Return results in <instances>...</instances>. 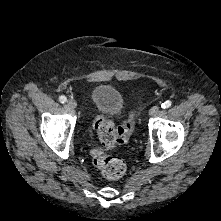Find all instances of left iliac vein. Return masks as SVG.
<instances>
[{"label":"left iliac vein","mask_w":221,"mask_h":221,"mask_svg":"<svg viewBox=\"0 0 221 221\" xmlns=\"http://www.w3.org/2000/svg\"><path fill=\"white\" fill-rule=\"evenodd\" d=\"M159 111H160V107H159L158 105H154V106L150 109L149 115H150V116H154V115L158 114Z\"/></svg>","instance_id":"left-iliac-vein-1"}]
</instances>
